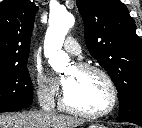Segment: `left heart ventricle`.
<instances>
[{
  "instance_id": "obj_1",
  "label": "left heart ventricle",
  "mask_w": 142,
  "mask_h": 128,
  "mask_svg": "<svg viewBox=\"0 0 142 128\" xmlns=\"http://www.w3.org/2000/svg\"><path fill=\"white\" fill-rule=\"evenodd\" d=\"M66 77L70 79L65 88L66 100L71 106L87 112H100L110 105V88L100 74L71 67L66 71Z\"/></svg>"
}]
</instances>
